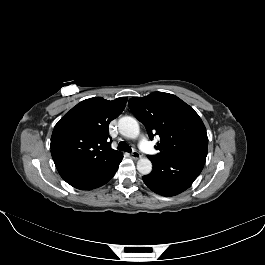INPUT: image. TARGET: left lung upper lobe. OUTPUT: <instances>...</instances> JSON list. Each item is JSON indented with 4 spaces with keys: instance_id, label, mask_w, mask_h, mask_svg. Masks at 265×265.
<instances>
[{
    "instance_id": "left-lung-upper-lobe-1",
    "label": "left lung upper lobe",
    "mask_w": 265,
    "mask_h": 265,
    "mask_svg": "<svg viewBox=\"0 0 265 265\" xmlns=\"http://www.w3.org/2000/svg\"><path fill=\"white\" fill-rule=\"evenodd\" d=\"M128 105L136 118L145 125L149 138L159 135L154 157H167L192 150L207 149L206 128L199 115L175 95L153 92L135 97Z\"/></svg>"
}]
</instances>
